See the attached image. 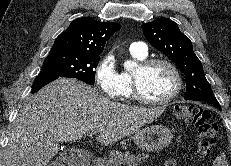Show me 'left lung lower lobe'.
<instances>
[{
  "instance_id": "1",
  "label": "left lung lower lobe",
  "mask_w": 231,
  "mask_h": 166,
  "mask_svg": "<svg viewBox=\"0 0 231 166\" xmlns=\"http://www.w3.org/2000/svg\"><path fill=\"white\" fill-rule=\"evenodd\" d=\"M204 102L213 104V105H215L216 107H218L219 109H221V106H220V104L218 103L217 100H208V101H204Z\"/></svg>"
}]
</instances>
